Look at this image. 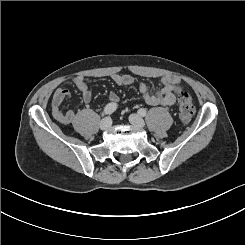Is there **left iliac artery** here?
Wrapping results in <instances>:
<instances>
[{
	"label": "left iliac artery",
	"mask_w": 245,
	"mask_h": 245,
	"mask_svg": "<svg viewBox=\"0 0 245 245\" xmlns=\"http://www.w3.org/2000/svg\"><path fill=\"white\" fill-rule=\"evenodd\" d=\"M138 113L140 114V116H145L147 112H146V110L144 108H140L138 110Z\"/></svg>",
	"instance_id": "left-iliac-artery-1"
}]
</instances>
